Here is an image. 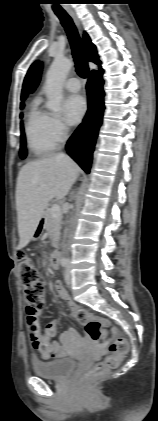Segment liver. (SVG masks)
Masks as SVG:
<instances>
[{
  "instance_id": "1",
  "label": "liver",
  "mask_w": 158,
  "mask_h": 421,
  "mask_svg": "<svg viewBox=\"0 0 158 421\" xmlns=\"http://www.w3.org/2000/svg\"><path fill=\"white\" fill-rule=\"evenodd\" d=\"M79 171V166L63 154L29 162L20 169L16 185L20 249L30 242L48 203L68 194Z\"/></svg>"
}]
</instances>
